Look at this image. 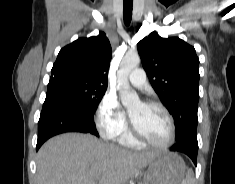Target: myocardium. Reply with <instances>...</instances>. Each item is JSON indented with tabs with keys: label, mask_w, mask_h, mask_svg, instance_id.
Returning a JSON list of instances; mask_svg holds the SVG:
<instances>
[{
	"label": "myocardium",
	"mask_w": 235,
	"mask_h": 184,
	"mask_svg": "<svg viewBox=\"0 0 235 184\" xmlns=\"http://www.w3.org/2000/svg\"><path fill=\"white\" fill-rule=\"evenodd\" d=\"M143 105L147 106V107H158L160 109H162L165 114L168 117L169 123H170V136L169 139L166 143L162 144V145H158L155 144L154 142H152L151 140H149L147 137H145L144 135H142L137 128L134 126L132 119L130 121V132L133 136V138L145 145H148L154 149L157 150H167L169 149L175 142V138H176V123H175V119L173 114L171 113V111L161 102L158 101H147L142 103Z\"/></svg>",
	"instance_id": "1"
}]
</instances>
